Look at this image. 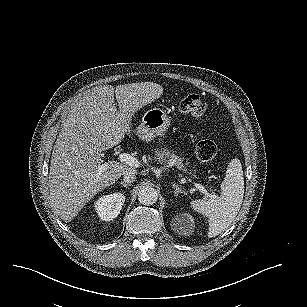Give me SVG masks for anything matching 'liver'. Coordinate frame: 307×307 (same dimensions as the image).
Masks as SVG:
<instances>
[{"label":"liver","instance_id":"liver-1","mask_svg":"<svg viewBox=\"0 0 307 307\" xmlns=\"http://www.w3.org/2000/svg\"><path fill=\"white\" fill-rule=\"evenodd\" d=\"M162 93V86L153 82L118 85L115 90L104 85L73 102L53 146L48 177L51 206L62 220H71L93 195L126 172H136L118 161L103 163L101 152L119 144L133 113Z\"/></svg>","mask_w":307,"mask_h":307}]
</instances>
